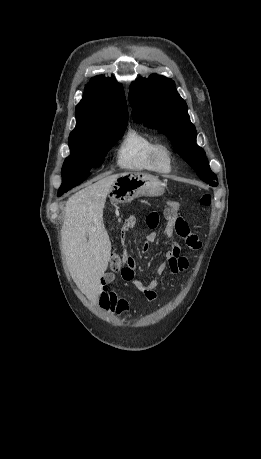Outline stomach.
Segmentation results:
<instances>
[{
  "label": "stomach",
  "mask_w": 261,
  "mask_h": 459,
  "mask_svg": "<svg viewBox=\"0 0 261 459\" xmlns=\"http://www.w3.org/2000/svg\"><path fill=\"white\" fill-rule=\"evenodd\" d=\"M164 193V184L156 177L142 172H126L117 178L109 195L116 203H129L138 197H155Z\"/></svg>",
  "instance_id": "0dacf381"
}]
</instances>
